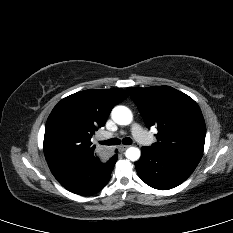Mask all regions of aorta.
I'll list each match as a JSON object with an SVG mask.
<instances>
[{"instance_id":"762f6f07","label":"aorta","mask_w":233,"mask_h":233,"mask_svg":"<svg viewBox=\"0 0 233 233\" xmlns=\"http://www.w3.org/2000/svg\"><path fill=\"white\" fill-rule=\"evenodd\" d=\"M111 117L114 122L119 125H129L133 119L131 110L121 105L113 108ZM125 156L131 161H137L141 156L140 149L137 147H130L126 150Z\"/></svg>"}]
</instances>
